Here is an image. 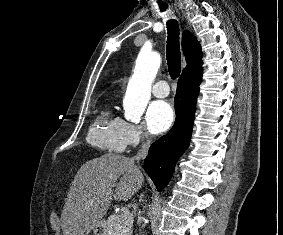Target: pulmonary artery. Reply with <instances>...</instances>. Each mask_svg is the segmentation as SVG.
<instances>
[{
	"instance_id": "1",
	"label": "pulmonary artery",
	"mask_w": 283,
	"mask_h": 235,
	"mask_svg": "<svg viewBox=\"0 0 283 235\" xmlns=\"http://www.w3.org/2000/svg\"><path fill=\"white\" fill-rule=\"evenodd\" d=\"M170 93L168 84L166 81L161 80L156 82L152 87V94L158 98L167 97Z\"/></svg>"
}]
</instances>
